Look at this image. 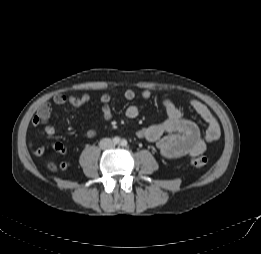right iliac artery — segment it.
Here are the masks:
<instances>
[{
	"label": "right iliac artery",
	"instance_id": "right-iliac-artery-1",
	"mask_svg": "<svg viewBox=\"0 0 261 254\" xmlns=\"http://www.w3.org/2000/svg\"><path fill=\"white\" fill-rule=\"evenodd\" d=\"M120 142V138L119 137H114L113 138V143L114 144H118Z\"/></svg>",
	"mask_w": 261,
	"mask_h": 254
}]
</instances>
